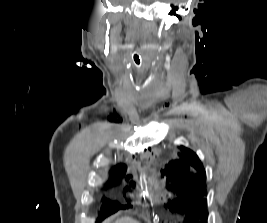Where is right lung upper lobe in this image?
I'll return each mask as SVG.
<instances>
[{
  "instance_id": "1",
  "label": "right lung upper lobe",
  "mask_w": 267,
  "mask_h": 223,
  "mask_svg": "<svg viewBox=\"0 0 267 223\" xmlns=\"http://www.w3.org/2000/svg\"><path fill=\"white\" fill-rule=\"evenodd\" d=\"M125 165H118L111 171V177L114 179H118L120 176H122L125 172Z\"/></svg>"
}]
</instances>
